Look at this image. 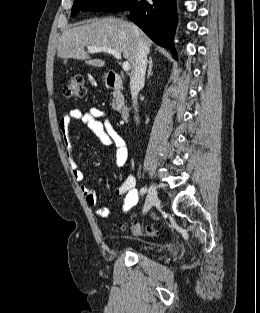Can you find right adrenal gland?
I'll use <instances>...</instances> for the list:
<instances>
[{
	"mask_svg": "<svg viewBox=\"0 0 260 313\" xmlns=\"http://www.w3.org/2000/svg\"><path fill=\"white\" fill-rule=\"evenodd\" d=\"M149 67H148V74H147V78L149 79L150 76L152 75V67H153V61H152V57L149 58Z\"/></svg>",
	"mask_w": 260,
	"mask_h": 313,
	"instance_id": "1",
	"label": "right adrenal gland"
}]
</instances>
